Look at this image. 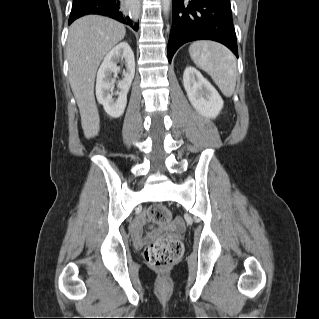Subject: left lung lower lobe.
Masks as SVG:
<instances>
[{"label":"left lung lower lobe","instance_id":"obj_1","mask_svg":"<svg viewBox=\"0 0 319 319\" xmlns=\"http://www.w3.org/2000/svg\"><path fill=\"white\" fill-rule=\"evenodd\" d=\"M173 20L168 42L171 63L176 50L195 40H214L227 46L238 58L230 0H172Z\"/></svg>","mask_w":319,"mask_h":319}]
</instances>
